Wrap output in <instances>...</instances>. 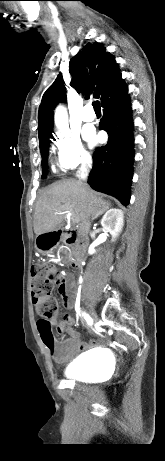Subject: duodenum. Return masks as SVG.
<instances>
[{"label":"duodenum","instance_id":"obj_1","mask_svg":"<svg viewBox=\"0 0 165 461\" xmlns=\"http://www.w3.org/2000/svg\"><path fill=\"white\" fill-rule=\"evenodd\" d=\"M46 237L56 242H62L66 245L74 246L76 248L74 266L76 268L80 267L81 262L83 261L85 256L86 244L77 230L68 231L65 229H58L52 232L51 234L46 235ZM69 287L70 285L67 284V291L69 290Z\"/></svg>","mask_w":165,"mask_h":461}]
</instances>
